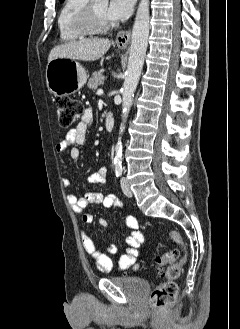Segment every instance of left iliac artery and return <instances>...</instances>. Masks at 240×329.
Wrapping results in <instances>:
<instances>
[{
  "label": "left iliac artery",
  "instance_id": "left-iliac-artery-1",
  "mask_svg": "<svg viewBox=\"0 0 240 329\" xmlns=\"http://www.w3.org/2000/svg\"><path fill=\"white\" fill-rule=\"evenodd\" d=\"M122 166L121 165H116L115 166V174H116V177H120L122 175Z\"/></svg>",
  "mask_w": 240,
  "mask_h": 329
}]
</instances>
